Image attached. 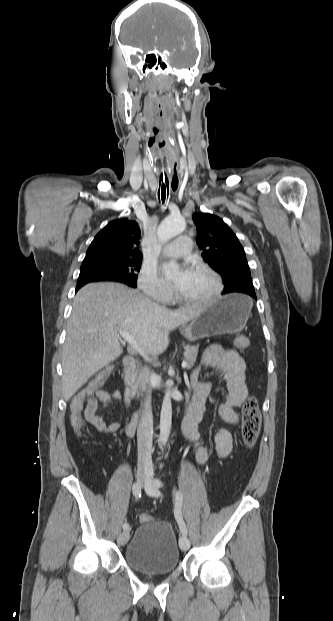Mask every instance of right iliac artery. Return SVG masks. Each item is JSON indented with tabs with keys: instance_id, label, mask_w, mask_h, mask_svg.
Here are the masks:
<instances>
[{
	"instance_id": "obj_1",
	"label": "right iliac artery",
	"mask_w": 333,
	"mask_h": 621,
	"mask_svg": "<svg viewBox=\"0 0 333 621\" xmlns=\"http://www.w3.org/2000/svg\"><path fill=\"white\" fill-rule=\"evenodd\" d=\"M132 491H133V495H134L137 499L141 497V487L139 486V484H138V483H134L133 488H132ZM123 529H124V530H128V529H129V524H128L127 522H125V523L123 524Z\"/></svg>"
}]
</instances>
